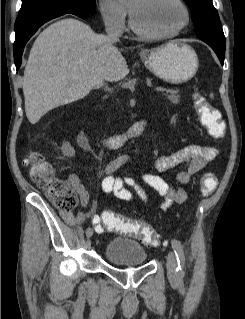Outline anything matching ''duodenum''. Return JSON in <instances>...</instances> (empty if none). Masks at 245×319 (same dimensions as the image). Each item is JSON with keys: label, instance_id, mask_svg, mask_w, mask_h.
<instances>
[{"label": "duodenum", "instance_id": "duodenum-1", "mask_svg": "<svg viewBox=\"0 0 245 319\" xmlns=\"http://www.w3.org/2000/svg\"><path fill=\"white\" fill-rule=\"evenodd\" d=\"M146 127L145 120H139L130 126L125 132L120 134H112L105 137V146L107 148H119L128 139L140 136Z\"/></svg>", "mask_w": 245, "mask_h": 319}]
</instances>
